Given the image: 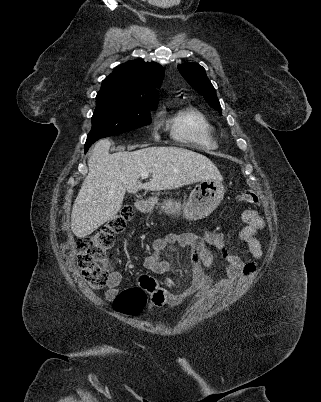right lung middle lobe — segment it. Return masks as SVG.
Returning <instances> with one entry per match:
<instances>
[{
  "label": "right lung middle lobe",
  "mask_w": 321,
  "mask_h": 402,
  "mask_svg": "<svg viewBox=\"0 0 321 402\" xmlns=\"http://www.w3.org/2000/svg\"><path fill=\"white\" fill-rule=\"evenodd\" d=\"M157 105L133 103L124 99L97 96L92 129L87 141H95L150 124V110Z\"/></svg>",
  "instance_id": "1"
}]
</instances>
